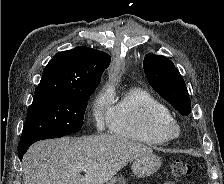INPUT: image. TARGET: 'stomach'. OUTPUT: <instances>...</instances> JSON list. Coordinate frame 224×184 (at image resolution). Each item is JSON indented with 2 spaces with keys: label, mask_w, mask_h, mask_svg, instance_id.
<instances>
[{
  "label": "stomach",
  "mask_w": 224,
  "mask_h": 184,
  "mask_svg": "<svg viewBox=\"0 0 224 184\" xmlns=\"http://www.w3.org/2000/svg\"><path fill=\"white\" fill-rule=\"evenodd\" d=\"M161 166V160L157 155L150 154L138 159L132 163V171L138 178H144L155 173ZM107 184H126L122 176H117L107 182Z\"/></svg>",
  "instance_id": "1"
}]
</instances>
